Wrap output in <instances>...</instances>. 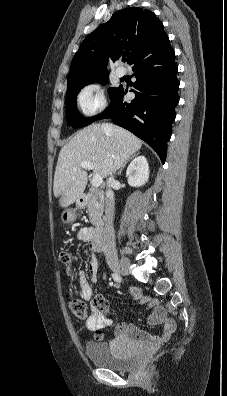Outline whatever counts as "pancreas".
I'll return each instance as SVG.
<instances>
[{
    "instance_id": "pancreas-1",
    "label": "pancreas",
    "mask_w": 227,
    "mask_h": 396,
    "mask_svg": "<svg viewBox=\"0 0 227 396\" xmlns=\"http://www.w3.org/2000/svg\"><path fill=\"white\" fill-rule=\"evenodd\" d=\"M103 202L101 199L91 196L87 205V212L89 214V219L91 224L94 226H100L102 223L103 214Z\"/></svg>"
}]
</instances>
